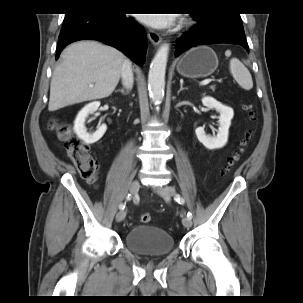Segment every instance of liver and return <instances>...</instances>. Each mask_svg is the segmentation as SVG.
Masks as SVG:
<instances>
[{
    "label": "liver",
    "mask_w": 303,
    "mask_h": 303,
    "mask_svg": "<svg viewBox=\"0 0 303 303\" xmlns=\"http://www.w3.org/2000/svg\"><path fill=\"white\" fill-rule=\"evenodd\" d=\"M126 61L117 49L95 41L69 45L52 75L48 110L108 97L116 88Z\"/></svg>",
    "instance_id": "6515ba94"
}]
</instances>
